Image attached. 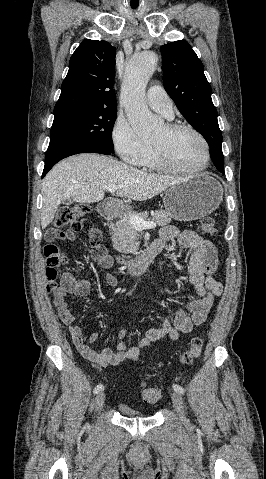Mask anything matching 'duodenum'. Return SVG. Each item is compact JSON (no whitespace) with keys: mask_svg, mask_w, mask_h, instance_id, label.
Returning <instances> with one entry per match:
<instances>
[{"mask_svg":"<svg viewBox=\"0 0 266 479\" xmlns=\"http://www.w3.org/2000/svg\"><path fill=\"white\" fill-rule=\"evenodd\" d=\"M115 207L116 202L106 201L99 205L98 210L102 217L112 219L115 216ZM162 248V244L156 240L134 259H121L120 264L122 270L132 277H140L144 275L155 257L161 252ZM90 254L91 256L96 257L100 254V251L98 248H91Z\"/></svg>","mask_w":266,"mask_h":479,"instance_id":"obj_1","label":"duodenum"}]
</instances>
